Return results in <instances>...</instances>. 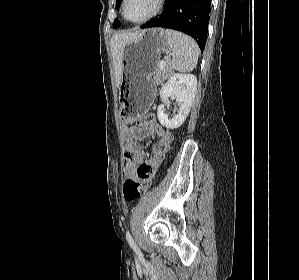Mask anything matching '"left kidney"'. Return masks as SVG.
<instances>
[{"label":"left kidney","mask_w":299,"mask_h":280,"mask_svg":"<svg viewBox=\"0 0 299 280\" xmlns=\"http://www.w3.org/2000/svg\"><path fill=\"white\" fill-rule=\"evenodd\" d=\"M197 91V78L192 74H173L169 80L162 86L160 97L163 104L158 106V120L164 127L168 129H176L180 127L188 116L193 104ZM174 94L179 110L172 119L168 118L165 112V104L168 97Z\"/></svg>","instance_id":"5707ae66"}]
</instances>
